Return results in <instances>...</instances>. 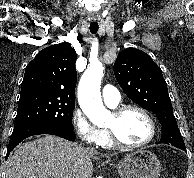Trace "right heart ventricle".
<instances>
[{
  "instance_id": "e07e8e85",
  "label": "right heart ventricle",
  "mask_w": 194,
  "mask_h": 178,
  "mask_svg": "<svg viewBox=\"0 0 194 178\" xmlns=\"http://www.w3.org/2000/svg\"><path fill=\"white\" fill-rule=\"evenodd\" d=\"M99 145H101L102 147H105V148H110L113 146V143L111 142L107 131L104 129L102 130V139H101Z\"/></svg>"
}]
</instances>
